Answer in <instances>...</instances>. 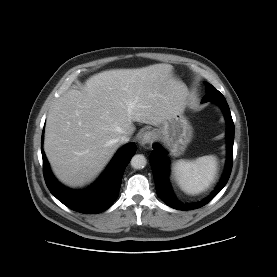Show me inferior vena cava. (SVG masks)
I'll list each match as a JSON object with an SVG mask.
<instances>
[{"label":"inferior vena cava","mask_w":277,"mask_h":277,"mask_svg":"<svg viewBox=\"0 0 277 277\" xmlns=\"http://www.w3.org/2000/svg\"><path fill=\"white\" fill-rule=\"evenodd\" d=\"M130 137L128 135H121L117 138V141L121 144L127 143L129 141Z\"/></svg>","instance_id":"1"}]
</instances>
